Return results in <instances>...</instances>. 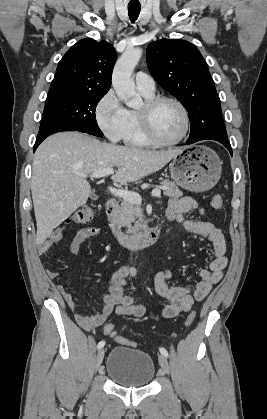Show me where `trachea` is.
Segmentation results:
<instances>
[{
	"label": "trachea",
	"mask_w": 267,
	"mask_h": 419,
	"mask_svg": "<svg viewBox=\"0 0 267 419\" xmlns=\"http://www.w3.org/2000/svg\"><path fill=\"white\" fill-rule=\"evenodd\" d=\"M141 7L140 6H128V15L132 22L136 21L140 14Z\"/></svg>",
	"instance_id": "1"
}]
</instances>
